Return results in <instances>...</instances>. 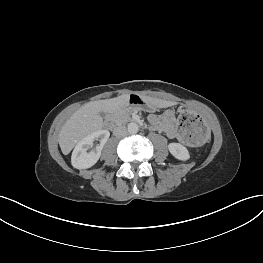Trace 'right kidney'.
<instances>
[{"label":"right kidney","instance_id":"obj_1","mask_svg":"<svg viewBox=\"0 0 263 263\" xmlns=\"http://www.w3.org/2000/svg\"><path fill=\"white\" fill-rule=\"evenodd\" d=\"M109 136L110 133L108 130H98L84 137L72 152V166L77 169H87L96 164ZM95 141H100V144H98L95 149L88 151L93 148Z\"/></svg>","mask_w":263,"mask_h":263}]
</instances>
